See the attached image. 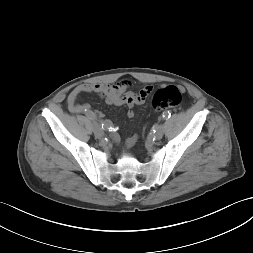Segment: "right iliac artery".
I'll use <instances>...</instances> for the list:
<instances>
[{
  "mask_svg": "<svg viewBox=\"0 0 253 253\" xmlns=\"http://www.w3.org/2000/svg\"><path fill=\"white\" fill-rule=\"evenodd\" d=\"M88 118L92 121H96L97 118L95 115H88ZM102 128H107L109 131H115V128L112 124H102Z\"/></svg>",
  "mask_w": 253,
  "mask_h": 253,
  "instance_id": "obj_1",
  "label": "right iliac artery"
}]
</instances>
